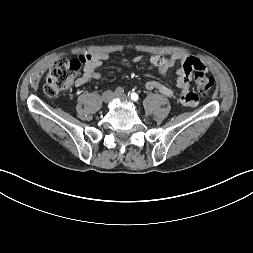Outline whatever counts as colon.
Instances as JSON below:
<instances>
[{"instance_id":"1","label":"colon","mask_w":253,"mask_h":253,"mask_svg":"<svg viewBox=\"0 0 253 253\" xmlns=\"http://www.w3.org/2000/svg\"><path fill=\"white\" fill-rule=\"evenodd\" d=\"M89 56L78 59H59L49 69L43 91L47 96L53 97L68 87L70 82L79 74L83 63ZM187 66L194 73V82L200 93L206 94L214 86V79L208 75L205 65L196 58H189Z\"/></svg>"}]
</instances>
